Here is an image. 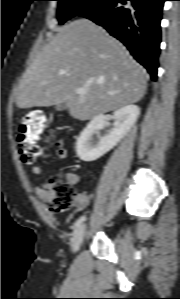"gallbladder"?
I'll use <instances>...</instances> for the list:
<instances>
[{
  "label": "gallbladder",
  "instance_id": "bac80fb5",
  "mask_svg": "<svg viewBox=\"0 0 180 299\" xmlns=\"http://www.w3.org/2000/svg\"><path fill=\"white\" fill-rule=\"evenodd\" d=\"M65 108H66V104H65V103L58 104V105H56V107H55V109H56L57 111H62V110H64Z\"/></svg>",
  "mask_w": 180,
  "mask_h": 299
}]
</instances>
